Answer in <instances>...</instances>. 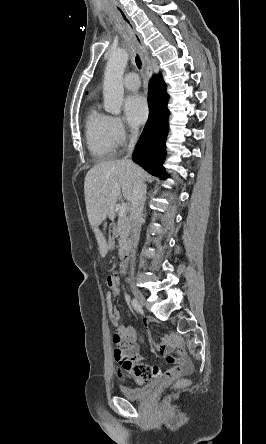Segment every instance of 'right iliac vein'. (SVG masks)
Masks as SVG:
<instances>
[{
  "label": "right iliac vein",
  "instance_id": "obj_1",
  "mask_svg": "<svg viewBox=\"0 0 266 444\" xmlns=\"http://www.w3.org/2000/svg\"><path fill=\"white\" fill-rule=\"evenodd\" d=\"M132 292H133V295H134L136 301L141 306H144L146 302H145V298H144L142 292L139 289H137L136 287H134V286L132 287Z\"/></svg>",
  "mask_w": 266,
  "mask_h": 444
}]
</instances>
